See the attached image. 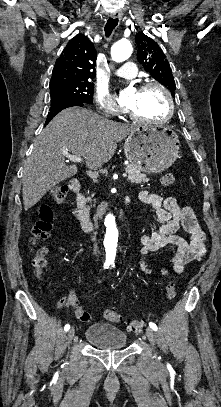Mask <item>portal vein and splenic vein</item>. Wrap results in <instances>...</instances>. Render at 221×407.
<instances>
[{"label":"portal vein and splenic vein","mask_w":221,"mask_h":407,"mask_svg":"<svg viewBox=\"0 0 221 407\" xmlns=\"http://www.w3.org/2000/svg\"><path fill=\"white\" fill-rule=\"evenodd\" d=\"M64 156L66 158H68L70 161H73V162H77V163H82L83 162V159L80 156L71 155V154H68V153H64ZM123 177L124 178L127 177V173H123Z\"/></svg>","instance_id":"portal-vein-and-splenic-vein-1"}]
</instances>
